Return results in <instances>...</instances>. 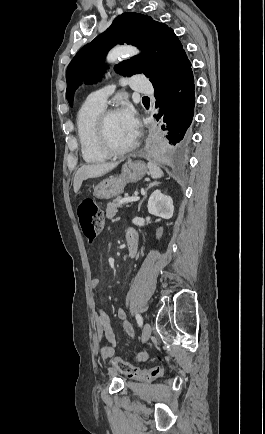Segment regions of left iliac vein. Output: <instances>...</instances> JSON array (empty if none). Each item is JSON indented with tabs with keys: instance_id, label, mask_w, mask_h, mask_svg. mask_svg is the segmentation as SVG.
<instances>
[{
	"instance_id": "left-iliac-vein-1",
	"label": "left iliac vein",
	"mask_w": 265,
	"mask_h": 434,
	"mask_svg": "<svg viewBox=\"0 0 265 434\" xmlns=\"http://www.w3.org/2000/svg\"><path fill=\"white\" fill-rule=\"evenodd\" d=\"M151 336V326L149 323H146L143 327L142 331V343H146Z\"/></svg>"
}]
</instances>
